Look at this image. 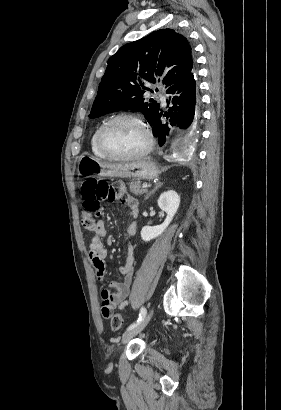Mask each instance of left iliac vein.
<instances>
[{"mask_svg":"<svg viewBox=\"0 0 281 410\" xmlns=\"http://www.w3.org/2000/svg\"><path fill=\"white\" fill-rule=\"evenodd\" d=\"M153 316V311L151 310L145 317L132 329L128 330L123 336H122V344L128 343L133 337H135L137 334H139L149 323Z\"/></svg>","mask_w":281,"mask_h":410,"instance_id":"4c4485c4","label":"left iliac vein"}]
</instances>
